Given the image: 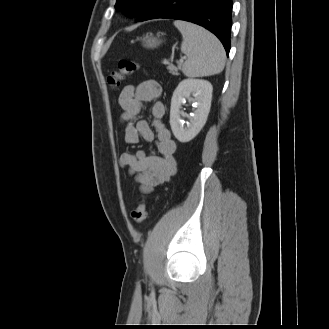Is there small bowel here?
<instances>
[{"mask_svg":"<svg viewBox=\"0 0 329 329\" xmlns=\"http://www.w3.org/2000/svg\"><path fill=\"white\" fill-rule=\"evenodd\" d=\"M162 87L156 81H144L138 85H127L119 95V105L123 109L120 124L124 127V137L128 144L141 140L155 141L156 152L136 150L125 152L119 157V164L126 167L136 183L145 193L164 185L177 170V146L171 133L163 123L165 107L159 98ZM151 104L152 126L142 119L145 104Z\"/></svg>","mask_w":329,"mask_h":329,"instance_id":"obj_1","label":"small bowel"}]
</instances>
